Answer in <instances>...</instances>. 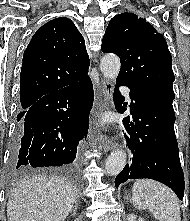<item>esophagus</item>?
Returning a JSON list of instances; mask_svg holds the SVG:
<instances>
[{
  "label": "esophagus",
  "instance_id": "1",
  "mask_svg": "<svg viewBox=\"0 0 190 221\" xmlns=\"http://www.w3.org/2000/svg\"><path fill=\"white\" fill-rule=\"evenodd\" d=\"M113 93V86L109 80L102 79L100 86V99L98 103L99 110H104L109 105ZM105 151L112 150L116 147V143L108 138L106 134L100 133L98 137Z\"/></svg>",
  "mask_w": 190,
  "mask_h": 221
}]
</instances>
